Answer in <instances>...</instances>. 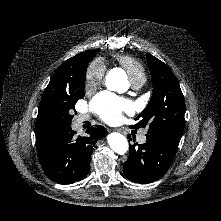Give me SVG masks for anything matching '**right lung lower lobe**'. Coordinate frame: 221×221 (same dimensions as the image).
Returning <instances> with one entry per match:
<instances>
[{"label": "right lung lower lobe", "instance_id": "1", "mask_svg": "<svg viewBox=\"0 0 221 221\" xmlns=\"http://www.w3.org/2000/svg\"><path fill=\"white\" fill-rule=\"evenodd\" d=\"M75 133L71 126L56 132L45 159L40 162L45 174L56 183L72 184L88 174L93 148L107 135V130L96 125L87 130L86 137H76Z\"/></svg>", "mask_w": 221, "mask_h": 221}]
</instances>
